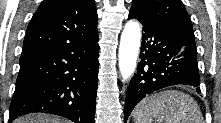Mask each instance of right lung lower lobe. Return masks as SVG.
<instances>
[{"mask_svg":"<svg viewBox=\"0 0 221 123\" xmlns=\"http://www.w3.org/2000/svg\"><path fill=\"white\" fill-rule=\"evenodd\" d=\"M98 57V34L62 48L22 53L9 121L46 112L94 123Z\"/></svg>","mask_w":221,"mask_h":123,"instance_id":"1","label":"right lung lower lobe"}]
</instances>
